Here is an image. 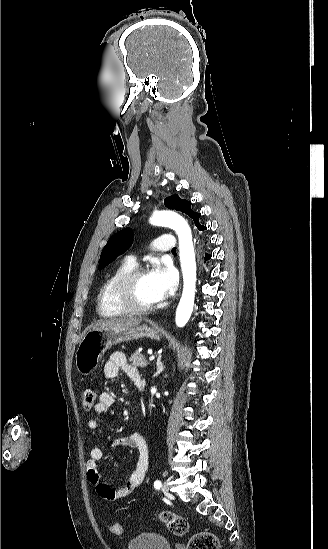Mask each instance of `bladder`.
Segmentation results:
<instances>
[{"label":"bladder","instance_id":"bladder-1","mask_svg":"<svg viewBox=\"0 0 328 549\" xmlns=\"http://www.w3.org/2000/svg\"><path fill=\"white\" fill-rule=\"evenodd\" d=\"M130 549H171V546L162 536L141 533L131 541Z\"/></svg>","mask_w":328,"mask_h":549}]
</instances>
